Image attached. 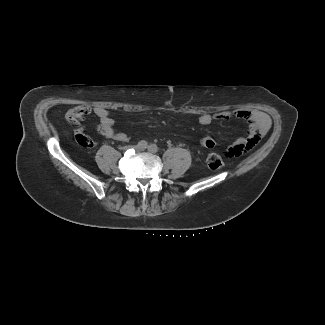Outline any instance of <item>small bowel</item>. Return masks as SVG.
<instances>
[{
    "mask_svg": "<svg viewBox=\"0 0 325 325\" xmlns=\"http://www.w3.org/2000/svg\"><path fill=\"white\" fill-rule=\"evenodd\" d=\"M91 111L99 120L97 130L102 136L119 142H126L128 140V136L124 132L116 130L115 122L110 116L108 109L103 106H96L92 109L87 105H78L68 111L66 118L74 127L76 140L81 146L86 148L95 146V142L85 135L80 124ZM234 116L246 120L248 129L244 137H240L234 143L224 147V153L227 157H237L249 152L271 126L270 117L261 111L239 110L235 112ZM230 118H232V115L226 112L215 115L204 113L200 115L198 121L201 125L207 126L214 120H229ZM201 145L206 149H214L217 146V142L213 136L206 135L203 137Z\"/></svg>",
    "mask_w": 325,
    "mask_h": 325,
    "instance_id": "obj_1",
    "label": "small bowel"
}]
</instances>
